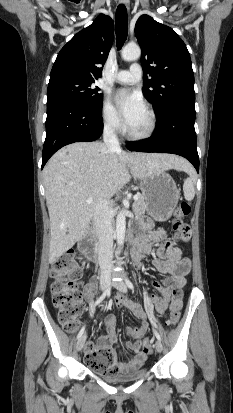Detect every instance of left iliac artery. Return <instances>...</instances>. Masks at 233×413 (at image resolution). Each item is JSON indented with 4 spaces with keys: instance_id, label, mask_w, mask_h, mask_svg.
Wrapping results in <instances>:
<instances>
[{
    "instance_id": "left-iliac-artery-1",
    "label": "left iliac artery",
    "mask_w": 233,
    "mask_h": 413,
    "mask_svg": "<svg viewBox=\"0 0 233 413\" xmlns=\"http://www.w3.org/2000/svg\"><path fill=\"white\" fill-rule=\"evenodd\" d=\"M125 281H126L127 286H128L130 289L133 290V289H134V286H133L132 282H131L128 278H126ZM150 320H151V322L153 323L152 318H150ZM153 332H154L156 338L161 341V337H160L159 333H158L155 329H153Z\"/></svg>"
}]
</instances>
